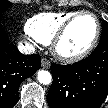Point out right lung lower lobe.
Here are the masks:
<instances>
[{
    "label": "right lung lower lobe",
    "instance_id": "98d812e1",
    "mask_svg": "<svg viewBox=\"0 0 108 108\" xmlns=\"http://www.w3.org/2000/svg\"><path fill=\"white\" fill-rule=\"evenodd\" d=\"M39 68L40 56L21 54L0 26V108L16 104L20 84Z\"/></svg>",
    "mask_w": 108,
    "mask_h": 108
}]
</instances>
